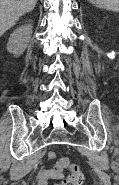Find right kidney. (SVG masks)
I'll list each match as a JSON object with an SVG mask.
<instances>
[{
	"label": "right kidney",
	"mask_w": 119,
	"mask_h": 185,
	"mask_svg": "<svg viewBox=\"0 0 119 185\" xmlns=\"http://www.w3.org/2000/svg\"><path fill=\"white\" fill-rule=\"evenodd\" d=\"M32 28L31 24H27L13 31L7 43V50L9 53L19 56L24 52L30 41L33 31Z\"/></svg>",
	"instance_id": "ca27d5eb"
}]
</instances>
